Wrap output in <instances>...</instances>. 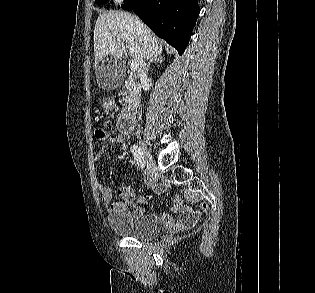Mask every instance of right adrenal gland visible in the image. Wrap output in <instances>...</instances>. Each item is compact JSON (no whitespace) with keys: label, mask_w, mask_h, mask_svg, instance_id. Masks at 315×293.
I'll return each mask as SVG.
<instances>
[{"label":"right adrenal gland","mask_w":315,"mask_h":293,"mask_svg":"<svg viewBox=\"0 0 315 293\" xmlns=\"http://www.w3.org/2000/svg\"><path fill=\"white\" fill-rule=\"evenodd\" d=\"M158 62H162L161 57H157V58H155V59H150L149 62H148V64H147V68H146L147 73H148V71H149L150 65L153 64V63H158Z\"/></svg>","instance_id":"2a0ac1e0"}]
</instances>
